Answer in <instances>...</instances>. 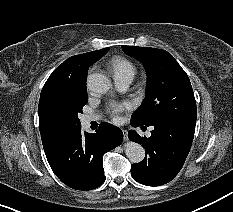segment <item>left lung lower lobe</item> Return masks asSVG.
<instances>
[{
    "label": "left lung lower lobe",
    "instance_id": "left-lung-lower-lobe-1",
    "mask_svg": "<svg viewBox=\"0 0 233 212\" xmlns=\"http://www.w3.org/2000/svg\"><path fill=\"white\" fill-rule=\"evenodd\" d=\"M133 127L144 125L131 121ZM195 125L173 120H159L151 126V137L128 132L130 140L145 148L142 162L131 165V175L139 183L160 186L171 181L181 170L192 145Z\"/></svg>",
    "mask_w": 233,
    "mask_h": 212
}]
</instances>
